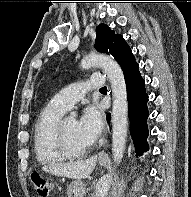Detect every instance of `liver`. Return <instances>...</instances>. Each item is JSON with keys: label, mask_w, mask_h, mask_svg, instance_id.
<instances>
[{"label": "liver", "mask_w": 191, "mask_h": 197, "mask_svg": "<svg viewBox=\"0 0 191 197\" xmlns=\"http://www.w3.org/2000/svg\"><path fill=\"white\" fill-rule=\"evenodd\" d=\"M96 162L97 156H92L86 160L76 162L46 165L42 167V170L56 176L81 180L87 178L93 172Z\"/></svg>", "instance_id": "1"}]
</instances>
